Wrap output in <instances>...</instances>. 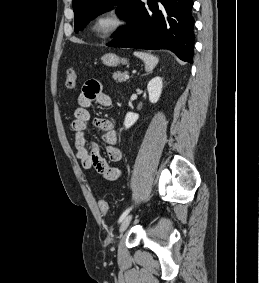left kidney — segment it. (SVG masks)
<instances>
[{"mask_svg": "<svg viewBox=\"0 0 259 283\" xmlns=\"http://www.w3.org/2000/svg\"><path fill=\"white\" fill-rule=\"evenodd\" d=\"M162 87L163 83L161 77H154L151 81H149L147 90L149 94V101L151 103H156L159 100L162 92ZM138 118V114L128 112L124 120L125 128H130L138 120Z\"/></svg>", "mask_w": 259, "mask_h": 283, "instance_id": "1", "label": "left kidney"}]
</instances>
